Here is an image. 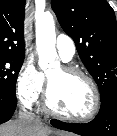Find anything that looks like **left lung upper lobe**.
<instances>
[{"mask_svg": "<svg viewBox=\"0 0 117 136\" xmlns=\"http://www.w3.org/2000/svg\"><path fill=\"white\" fill-rule=\"evenodd\" d=\"M63 30L74 40L78 54L104 99L117 89V23L106 0H52Z\"/></svg>", "mask_w": 117, "mask_h": 136, "instance_id": "5c2ea615", "label": "left lung upper lobe"}]
</instances>
